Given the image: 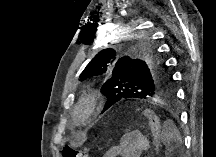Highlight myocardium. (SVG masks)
I'll return each instance as SVG.
<instances>
[{"mask_svg":"<svg viewBox=\"0 0 216 157\" xmlns=\"http://www.w3.org/2000/svg\"><path fill=\"white\" fill-rule=\"evenodd\" d=\"M101 106L100 99L96 93H89L82 97L75 110V120L79 124L89 123L98 113Z\"/></svg>","mask_w":216,"mask_h":157,"instance_id":"f54148a6","label":"myocardium"}]
</instances>
